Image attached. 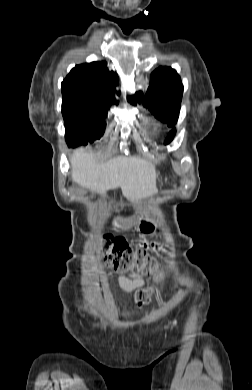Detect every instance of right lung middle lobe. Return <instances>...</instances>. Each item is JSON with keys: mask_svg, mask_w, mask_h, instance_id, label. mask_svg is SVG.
I'll list each match as a JSON object with an SVG mask.
<instances>
[{"mask_svg": "<svg viewBox=\"0 0 252 390\" xmlns=\"http://www.w3.org/2000/svg\"><path fill=\"white\" fill-rule=\"evenodd\" d=\"M107 109L101 107L62 109L66 141L70 145H78L99 139L105 131Z\"/></svg>", "mask_w": 252, "mask_h": 390, "instance_id": "obj_1", "label": "right lung middle lobe"}]
</instances>
